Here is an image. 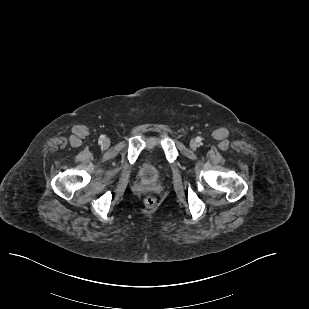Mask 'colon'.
<instances>
[{"label":"colon","instance_id":"colon-1","mask_svg":"<svg viewBox=\"0 0 309 309\" xmlns=\"http://www.w3.org/2000/svg\"><path fill=\"white\" fill-rule=\"evenodd\" d=\"M156 199L154 197L148 196L147 198H145L144 200V204L146 207L148 208H153L156 206Z\"/></svg>","mask_w":309,"mask_h":309}]
</instances>
